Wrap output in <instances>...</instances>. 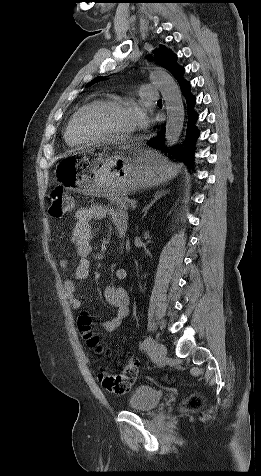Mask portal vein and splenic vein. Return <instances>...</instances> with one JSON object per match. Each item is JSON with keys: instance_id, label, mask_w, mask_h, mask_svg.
<instances>
[{"instance_id": "portal-vein-and-splenic-vein-1", "label": "portal vein and splenic vein", "mask_w": 261, "mask_h": 476, "mask_svg": "<svg viewBox=\"0 0 261 476\" xmlns=\"http://www.w3.org/2000/svg\"><path fill=\"white\" fill-rule=\"evenodd\" d=\"M129 204L132 209H135L137 207V203L135 200H131Z\"/></svg>"}]
</instances>
